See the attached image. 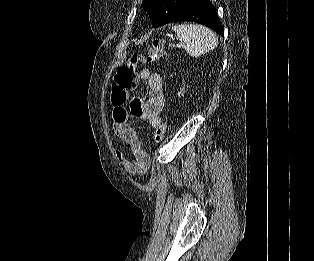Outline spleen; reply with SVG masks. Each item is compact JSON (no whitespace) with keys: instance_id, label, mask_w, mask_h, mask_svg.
I'll list each match as a JSON object with an SVG mask.
<instances>
[{"instance_id":"obj_1","label":"spleen","mask_w":314,"mask_h":261,"mask_svg":"<svg viewBox=\"0 0 314 261\" xmlns=\"http://www.w3.org/2000/svg\"><path fill=\"white\" fill-rule=\"evenodd\" d=\"M181 42L185 44L187 53L192 57L201 56L218 45L216 34L209 28L199 24H180L172 27Z\"/></svg>"}]
</instances>
